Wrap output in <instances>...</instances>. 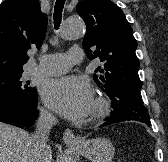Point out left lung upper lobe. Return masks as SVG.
<instances>
[{
  "label": "left lung upper lobe",
  "instance_id": "left-lung-upper-lobe-1",
  "mask_svg": "<svg viewBox=\"0 0 168 162\" xmlns=\"http://www.w3.org/2000/svg\"><path fill=\"white\" fill-rule=\"evenodd\" d=\"M77 12L87 27L84 50L89 59L99 58L103 64L95 70V83L108 96L140 92L137 42L123 11L110 0H83Z\"/></svg>",
  "mask_w": 168,
  "mask_h": 162
}]
</instances>
